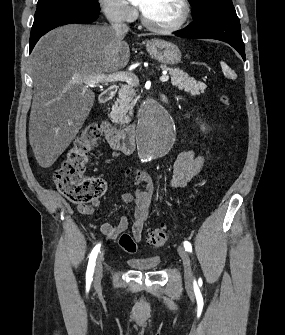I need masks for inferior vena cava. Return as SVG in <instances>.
Instances as JSON below:
<instances>
[{"instance_id": "inferior-vena-cava-1", "label": "inferior vena cava", "mask_w": 285, "mask_h": 335, "mask_svg": "<svg viewBox=\"0 0 285 335\" xmlns=\"http://www.w3.org/2000/svg\"><path fill=\"white\" fill-rule=\"evenodd\" d=\"M110 22L113 30H115L117 34H121V36H124V34H127V32H129L127 24H123L122 18H119V16H113Z\"/></svg>"}]
</instances>
